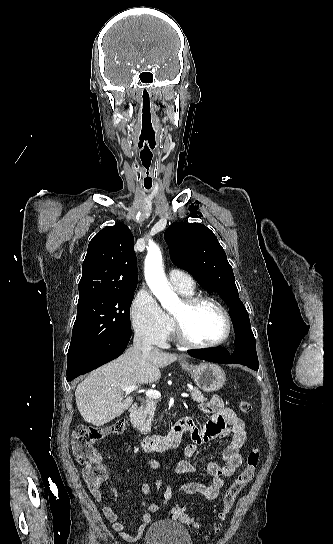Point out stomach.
Here are the masks:
<instances>
[{"label": "stomach", "mask_w": 333, "mask_h": 544, "mask_svg": "<svg viewBox=\"0 0 333 544\" xmlns=\"http://www.w3.org/2000/svg\"><path fill=\"white\" fill-rule=\"evenodd\" d=\"M193 378L196 385L205 392H215L226 382L224 370L213 363H202L196 366L182 364Z\"/></svg>", "instance_id": "1"}]
</instances>
